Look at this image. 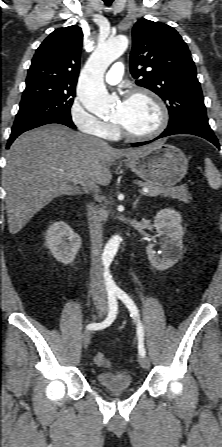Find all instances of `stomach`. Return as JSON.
I'll list each match as a JSON object with an SVG mask.
<instances>
[{"mask_svg":"<svg viewBox=\"0 0 222 447\" xmlns=\"http://www.w3.org/2000/svg\"><path fill=\"white\" fill-rule=\"evenodd\" d=\"M145 147L143 153L126 161L133 173L162 187H172L181 181L187 173L188 160L180 149L159 142Z\"/></svg>","mask_w":222,"mask_h":447,"instance_id":"1","label":"stomach"}]
</instances>
